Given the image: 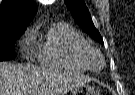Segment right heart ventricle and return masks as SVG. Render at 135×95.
<instances>
[{
	"label": "right heart ventricle",
	"mask_w": 135,
	"mask_h": 95,
	"mask_svg": "<svg viewBox=\"0 0 135 95\" xmlns=\"http://www.w3.org/2000/svg\"><path fill=\"white\" fill-rule=\"evenodd\" d=\"M31 37L38 40L35 53L42 66L78 72L88 69L79 55L88 42L70 24L54 22L42 33L38 25L31 30Z\"/></svg>",
	"instance_id": "right-heart-ventricle-1"
}]
</instances>
